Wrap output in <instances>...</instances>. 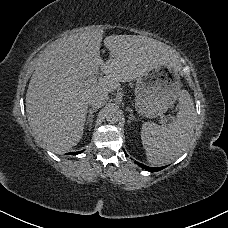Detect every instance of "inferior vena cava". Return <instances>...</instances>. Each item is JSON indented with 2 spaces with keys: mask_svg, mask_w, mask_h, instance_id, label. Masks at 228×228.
Returning a JSON list of instances; mask_svg holds the SVG:
<instances>
[{
  "mask_svg": "<svg viewBox=\"0 0 228 228\" xmlns=\"http://www.w3.org/2000/svg\"><path fill=\"white\" fill-rule=\"evenodd\" d=\"M108 100L107 93L91 92L88 97V104L93 108H102Z\"/></svg>",
  "mask_w": 228,
  "mask_h": 228,
  "instance_id": "inferior-vena-cava-1",
  "label": "inferior vena cava"
}]
</instances>
